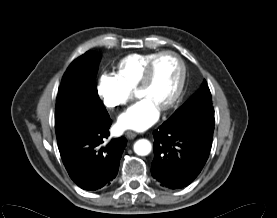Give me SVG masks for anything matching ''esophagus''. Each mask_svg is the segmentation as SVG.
Returning <instances> with one entry per match:
<instances>
[{
	"label": "esophagus",
	"instance_id": "34e87169",
	"mask_svg": "<svg viewBox=\"0 0 277 218\" xmlns=\"http://www.w3.org/2000/svg\"><path fill=\"white\" fill-rule=\"evenodd\" d=\"M125 136H126V138H128V139H134V138L137 136V134L134 133V132H132V131H127V132L125 133Z\"/></svg>",
	"mask_w": 277,
	"mask_h": 218
}]
</instances>
